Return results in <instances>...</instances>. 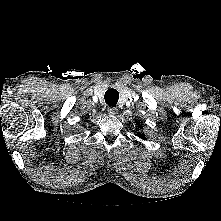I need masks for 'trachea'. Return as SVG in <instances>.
<instances>
[{
    "label": "trachea",
    "mask_w": 221,
    "mask_h": 221,
    "mask_svg": "<svg viewBox=\"0 0 221 221\" xmlns=\"http://www.w3.org/2000/svg\"><path fill=\"white\" fill-rule=\"evenodd\" d=\"M119 99V92L116 89H109L105 93V102L109 106H116Z\"/></svg>",
    "instance_id": "1"
}]
</instances>
